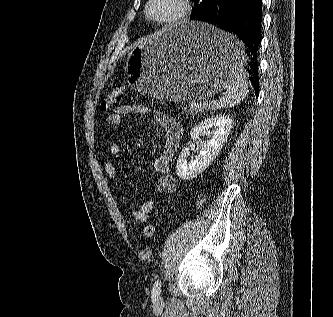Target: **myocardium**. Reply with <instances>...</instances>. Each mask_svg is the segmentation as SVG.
Listing matches in <instances>:
<instances>
[{"instance_id": "obj_1", "label": "myocardium", "mask_w": 333, "mask_h": 317, "mask_svg": "<svg viewBox=\"0 0 333 317\" xmlns=\"http://www.w3.org/2000/svg\"><path fill=\"white\" fill-rule=\"evenodd\" d=\"M156 0H147L145 7H144V15L146 19L158 25H176L183 21L190 13L191 10V2L190 0H172L175 5V11L166 17H157L151 13V6Z\"/></svg>"}]
</instances>
